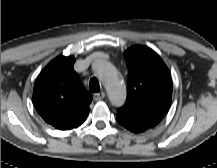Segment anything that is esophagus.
I'll list each match as a JSON object with an SVG mask.
<instances>
[{
  "mask_svg": "<svg viewBox=\"0 0 217 168\" xmlns=\"http://www.w3.org/2000/svg\"><path fill=\"white\" fill-rule=\"evenodd\" d=\"M104 97H105L104 92L95 93L93 95V98H94L95 101H100V100L104 99Z\"/></svg>",
  "mask_w": 217,
  "mask_h": 168,
  "instance_id": "esophagus-1",
  "label": "esophagus"
}]
</instances>
